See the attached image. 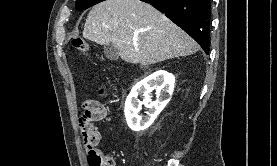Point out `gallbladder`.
Returning a JSON list of instances; mask_svg holds the SVG:
<instances>
[{
  "mask_svg": "<svg viewBox=\"0 0 277 166\" xmlns=\"http://www.w3.org/2000/svg\"><path fill=\"white\" fill-rule=\"evenodd\" d=\"M104 54L109 60H117L119 58V51L113 43L104 45Z\"/></svg>",
  "mask_w": 277,
  "mask_h": 166,
  "instance_id": "bac80fb5",
  "label": "gallbladder"
}]
</instances>
